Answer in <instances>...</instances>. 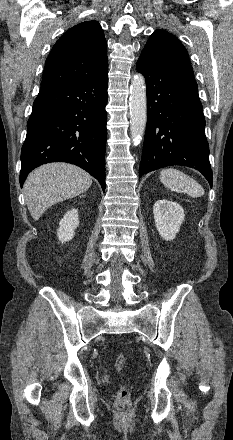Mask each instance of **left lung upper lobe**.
Segmentation results:
<instances>
[{"label":"left lung upper lobe","mask_w":233,"mask_h":440,"mask_svg":"<svg viewBox=\"0 0 233 440\" xmlns=\"http://www.w3.org/2000/svg\"><path fill=\"white\" fill-rule=\"evenodd\" d=\"M140 56L159 66L193 75L188 52L181 42L164 30L155 31L149 38Z\"/></svg>","instance_id":"5c2ea615"}]
</instances>
